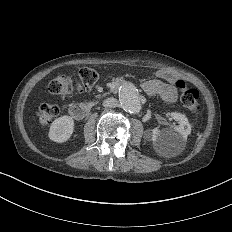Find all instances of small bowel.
Listing matches in <instances>:
<instances>
[{
	"label": "small bowel",
	"instance_id": "obj_1",
	"mask_svg": "<svg viewBox=\"0 0 232 232\" xmlns=\"http://www.w3.org/2000/svg\"><path fill=\"white\" fill-rule=\"evenodd\" d=\"M143 88L149 95H160L164 101L175 100V89L171 84H165L157 79H148L143 82Z\"/></svg>",
	"mask_w": 232,
	"mask_h": 232
}]
</instances>
